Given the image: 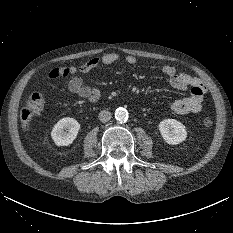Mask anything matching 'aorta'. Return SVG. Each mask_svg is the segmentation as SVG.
Returning <instances> with one entry per match:
<instances>
[{
  "label": "aorta",
  "instance_id": "obj_1",
  "mask_svg": "<svg viewBox=\"0 0 233 233\" xmlns=\"http://www.w3.org/2000/svg\"><path fill=\"white\" fill-rule=\"evenodd\" d=\"M115 118L119 122L126 121L128 119V111L125 108H123V107L117 108L115 110Z\"/></svg>",
  "mask_w": 233,
  "mask_h": 233
}]
</instances>
